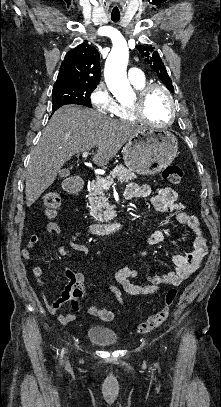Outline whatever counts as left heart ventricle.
Wrapping results in <instances>:
<instances>
[{
    "instance_id": "obj_1",
    "label": "left heart ventricle",
    "mask_w": 221,
    "mask_h": 407,
    "mask_svg": "<svg viewBox=\"0 0 221 407\" xmlns=\"http://www.w3.org/2000/svg\"><path fill=\"white\" fill-rule=\"evenodd\" d=\"M145 113L152 122L159 124L168 122L171 106L163 91L154 90L151 92L145 105Z\"/></svg>"
}]
</instances>
